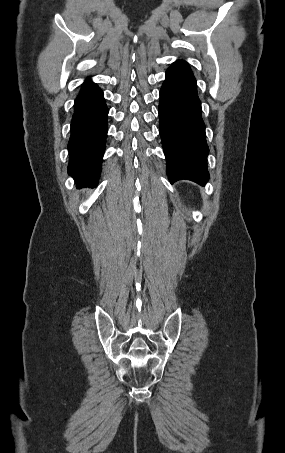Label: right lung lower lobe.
<instances>
[{"label": "right lung lower lobe", "mask_w": 285, "mask_h": 453, "mask_svg": "<svg viewBox=\"0 0 285 453\" xmlns=\"http://www.w3.org/2000/svg\"><path fill=\"white\" fill-rule=\"evenodd\" d=\"M108 109L102 90L86 80L74 103L68 142L71 175L78 187L98 183L107 135Z\"/></svg>", "instance_id": "right-lung-lower-lobe-1"}]
</instances>
